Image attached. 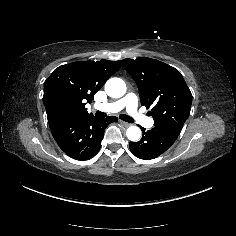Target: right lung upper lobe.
<instances>
[{
  "mask_svg": "<svg viewBox=\"0 0 236 236\" xmlns=\"http://www.w3.org/2000/svg\"><path fill=\"white\" fill-rule=\"evenodd\" d=\"M121 67V61H78L56 68L44 82L43 103L49 125L89 116L86 103Z\"/></svg>",
  "mask_w": 236,
  "mask_h": 236,
  "instance_id": "1",
  "label": "right lung upper lobe"
}]
</instances>
